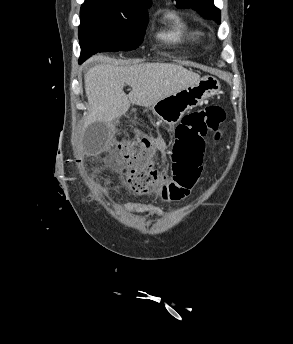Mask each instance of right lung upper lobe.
I'll list each match as a JSON object with an SVG mask.
<instances>
[{
  "mask_svg": "<svg viewBox=\"0 0 293 344\" xmlns=\"http://www.w3.org/2000/svg\"><path fill=\"white\" fill-rule=\"evenodd\" d=\"M85 2H100L113 7L132 8L148 17L147 6L151 5V0H85Z\"/></svg>",
  "mask_w": 293,
  "mask_h": 344,
  "instance_id": "cb5924a9",
  "label": "right lung upper lobe"
}]
</instances>
